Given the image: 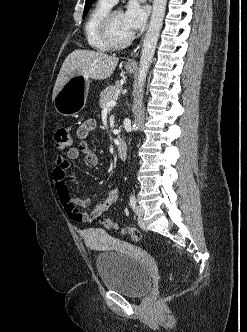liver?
I'll use <instances>...</instances> for the list:
<instances>
[{"instance_id":"6515ba94","label":"liver","mask_w":247,"mask_h":332,"mask_svg":"<svg viewBox=\"0 0 247 332\" xmlns=\"http://www.w3.org/2000/svg\"><path fill=\"white\" fill-rule=\"evenodd\" d=\"M118 62V57L102 52L81 49L73 51L62 64L53 88L52 101L72 76L80 74L87 78L103 80L112 75Z\"/></svg>"}]
</instances>
